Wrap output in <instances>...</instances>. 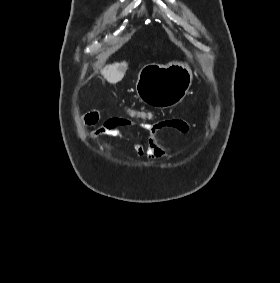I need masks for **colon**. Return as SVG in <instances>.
<instances>
[{"instance_id": "1", "label": "colon", "mask_w": 280, "mask_h": 283, "mask_svg": "<svg viewBox=\"0 0 280 283\" xmlns=\"http://www.w3.org/2000/svg\"><path fill=\"white\" fill-rule=\"evenodd\" d=\"M125 115L131 122H147L148 119H155L152 111H140L139 107L126 108Z\"/></svg>"}]
</instances>
